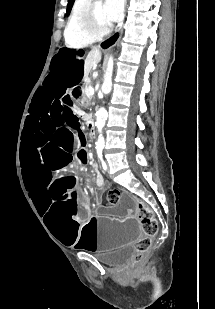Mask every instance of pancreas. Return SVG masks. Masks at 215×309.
Masks as SVG:
<instances>
[{"label": "pancreas", "mask_w": 215, "mask_h": 309, "mask_svg": "<svg viewBox=\"0 0 215 309\" xmlns=\"http://www.w3.org/2000/svg\"><path fill=\"white\" fill-rule=\"evenodd\" d=\"M90 86H92V80L91 78H88V80H85L84 82V90L81 100V102H85V104H91V96H88V92H86V88H90Z\"/></svg>", "instance_id": "cf45deb5"}]
</instances>
